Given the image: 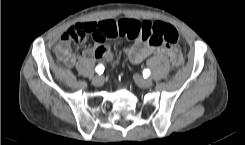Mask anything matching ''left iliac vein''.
Segmentation results:
<instances>
[{"mask_svg": "<svg viewBox=\"0 0 245 145\" xmlns=\"http://www.w3.org/2000/svg\"><path fill=\"white\" fill-rule=\"evenodd\" d=\"M134 79L137 82V84L142 88H149L153 84L152 80L144 79L139 74H135Z\"/></svg>", "mask_w": 245, "mask_h": 145, "instance_id": "obj_1", "label": "left iliac vein"}]
</instances>
